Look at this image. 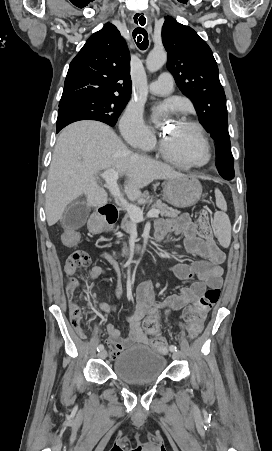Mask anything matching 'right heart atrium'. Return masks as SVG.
I'll return each instance as SVG.
<instances>
[{
    "label": "right heart atrium",
    "instance_id": "right-heart-atrium-1",
    "mask_svg": "<svg viewBox=\"0 0 272 451\" xmlns=\"http://www.w3.org/2000/svg\"><path fill=\"white\" fill-rule=\"evenodd\" d=\"M121 129L126 140L134 147L144 148L151 144L153 134L143 119L140 108L132 106L121 119Z\"/></svg>",
    "mask_w": 272,
    "mask_h": 451
}]
</instances>
